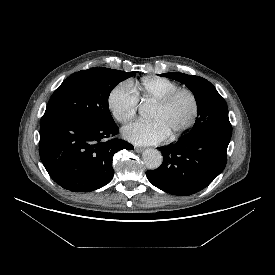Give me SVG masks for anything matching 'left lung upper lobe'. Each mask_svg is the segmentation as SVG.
Here are the masks:
<instances>
[{
  "label": "left lung upper lobe",
  "instance_id": "5c2ea615",
  "mask_svg": "<svg viewBox=\"0 0 275 275\" xmlns=\"http://www.w3.org/2000/svg\"><path fill=\"white\" fill-rule=\"evenodd\" d=\"M161 76L184 83L196 99L197 118L193 128L185 137L231 138L232 127L227 104L209 81L199 76L178 72L164 73Z\"/></svg>",
  "mask_w": 275,
  "mask_h": 275
}]
</instances>
